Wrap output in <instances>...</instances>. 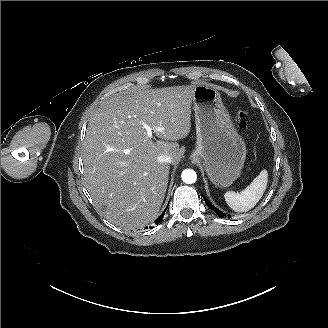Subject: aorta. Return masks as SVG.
I'll use <instances>...</instances> for the list:
<instances>
[{
  "instance_id": "762f6f07",
  "label": "aorta",
  "mask_w": 328,
  "mask_h": 328,
  "mask_svg": "<svg viewBox=\"0 0 328 328\" xmlns=\"http://www.w3.org/2000/svg\"><path fill=\"white\" fill-rule=\"evenodd\" d=\"M181 178L186 184H193L197 180V174L192 169H186L182 172Z\"/></svg>"
}]
</instances>
